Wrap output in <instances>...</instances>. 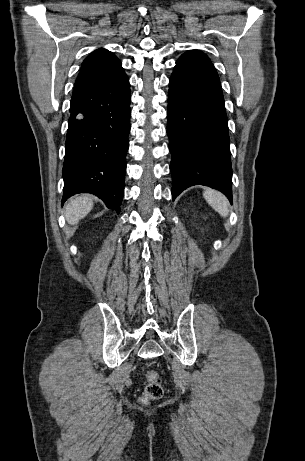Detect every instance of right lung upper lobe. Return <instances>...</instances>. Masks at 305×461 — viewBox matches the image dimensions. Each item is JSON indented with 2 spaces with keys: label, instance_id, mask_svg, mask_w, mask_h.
<instances>
[{
  "label": "right lung upper lobe",
  "instance_id": "1",
  "mask_svg": "<svg viewBox=\"0 0 305 461\" xmlns=\"http://www.w3.org/2000/svg\"><path fill=\"white\" fill-rule=\"evenodd\" d=\"M123 72L120 60L112 52L100 48L83 61L75 86L104 82Z\"/></svg>",
  "mask_w": 305,
  "mask_h": 461
}]
</instances>
